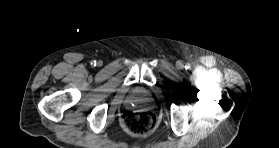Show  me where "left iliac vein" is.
<instances>
[{"instance_id": "4c4485c4", "label": "left iliac vein", "mask_w": 279, "mask_h": 148, "mask_svg": "<svg viewBox=\"0 0 279 148\" xmlns=\"http://www.w3.org/2000/svg\"><path fill=\"white\" fill-rule=\"evenodd\" d=\"M177 67H178L179 69H181V68L184 67V65H183V63H182L181 61H178V62H177Z\"/></svg>"}]
</instances>
